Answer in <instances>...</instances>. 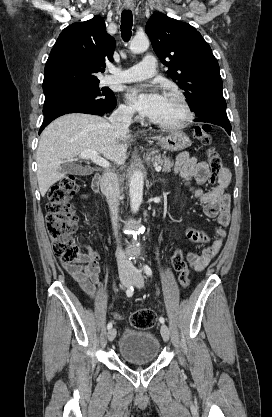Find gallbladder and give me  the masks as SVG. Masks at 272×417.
I'll use <instances>...</instances> for the list:
<instances>
[{
	"label": "gallbladder",
	"mask_w": 272,
	"mask_h": 417,
	"mask_svg": "<svg viewBox=\"0 0 272 417\" xmlns=\"http://www.w3.org/2000/svg\"><path fill=\"white\" fill-rule=\"evenodd\" d=\"M60 171L66 174L74 175H86L88 173V170L84 166L73 163H63Z\"/></svg>",
	"instance_id": "gallbladder-1"
}]
</instances>
